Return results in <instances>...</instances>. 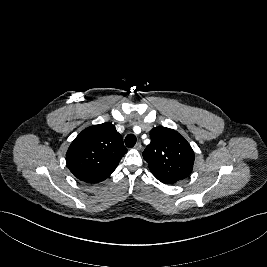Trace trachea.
I'll return each instance as SVG.
<instances>
[{
	"mask_svg": "<svg viewBox=\"0 0 267 267\" xmlns=\"http://www.w3.org/2000/svg\"><path fill=\"white\" fill-rule=\"evenodd\" d=\"M136 144V136L134 134H128L125 137V145L128 148H132Z\"/></svg>",
	"mask_w": 267,
	"mask_h": 267,
	"instance_id": "1",
	"label": "trachea"
}]
</instances>
